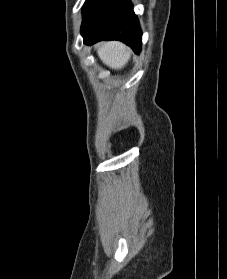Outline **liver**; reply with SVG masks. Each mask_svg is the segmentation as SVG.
Masks as SVG:
<instances>
[{"mask_svg":"<svg viewBox=\"0 0 227 279\" xmlns=\"http://www.w3.org/2000/svg\"><path fill=\"white\" fill-rule=\"evenodd\" d=\"M97 54L109 68L120 70L128 63L131 50L121 42L111 41L100 43Z\"/></svg>","mask_w":227,"mask_h":279,"instance_id":"6515ba94","label":"liver"}]
</instances>
